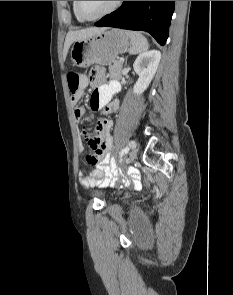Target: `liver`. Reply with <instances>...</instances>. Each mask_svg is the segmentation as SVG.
I'll return each mask as SVG.
<instances>
[{
	"mask_svg": "<svg viewBox=\"0 0 233 295\" xmlns=\"http://www.w3.org/2000/svg\"><path fill=\"white\" fill-rule=\"evenodd\" d=\"M102 30H104V28L91 27V28H87L83 30L68 32L66 35L65 43H64V50H63L64 59L66 58L68 54V50L73 42L91 37L94 34L101 32Z\"/></svg>",
	"mask_w": 233,
	"mask_h": 295,
	"instance_id": "1",
	"label": "liver"
}]
</instances>
